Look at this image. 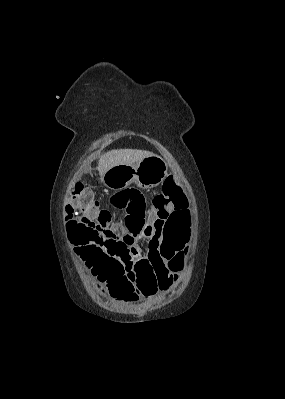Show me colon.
Returning <instances> with one entry per match:
<instances>
[{
  "label": "colon",
  "instance_id": "1",
  "mask_svg": "<svg viewBox=\"0 0 285 399\" xmlns=\"http://www.w3.org/2000/svg\"><path fill=\"white\" fill-rule=\"evenodd\" d=\"M150 205L162 220L156 227L164 244L151 249L146 257H140L135 240L142 236L146 225L144 196L136 190H125L101 205L92 188L81 182L72 187L65 212L76 213L78 218L69 219L66 230L87 271L95 278L96 289L105 285L115 296L136 300L141 295L155 294L160 281L183 268L181 253L188 237L183 232L173 231L189 218L180 186L167 178L162 191L154 195ZM109 206L125 211L122 222L110 212ZM108 261L115 264L118 272L127 265L131 270L130 280L119 281L118 272L100 270V266Z\"/></svg>",
  "mask_w": 285,
  "mask_h": 399
}]
</instances>
